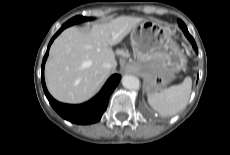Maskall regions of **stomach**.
I'll use <instances>...</instances> for the list:
<instances>
[{
	"label": "stomach",
	"instance_id": "stomach-1",
	"mask_svg": "<svg viewBox=\"0 0 230 155\" xmlns=\"http://www.w3.org/2000/svg\"><path fill=\"white\" fill-rule=\"evenodd\" d=\"M131 44L149 94L163 89L186 64L172 30L159 20L145 19L134 27Z\"/></svg>",
	"mask_w": 230,
	"mask_h": 155
}]
</instances>
